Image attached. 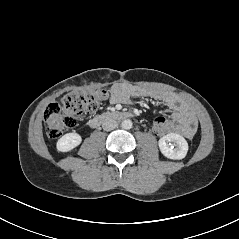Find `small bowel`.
I'll list each match as a JSON object with an SVG mask.
<instances>
[{
    "instance_id": "small-bowel-1",
    "label": "small bowel",
    "mask_w": 239,
    "mask_h": 239,
    "mask_svg": "<svg viewBox=\"0 0 239 239\" xmlns=\"http://www.w3.org/2000/svg\"><path fill=\"white\" fill-rule=\"evenodd\" d=\"M133 97H148L158 102L172 112V130L170 133L179 134L191 139L198 128V121L192 110L173 93L147 89L140 86L118 84L111 89L109 102L111 104H126Z\"/></svg>"
}]
</instances>
